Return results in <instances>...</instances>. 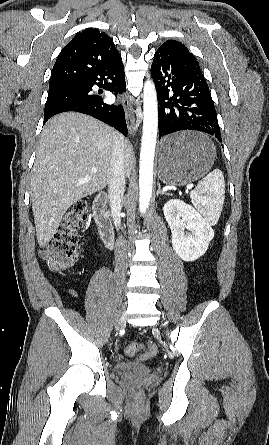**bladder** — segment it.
I'll return each instance as SVG.
<instances>
[{
  "label": "bladder",
  "mask_w": 269,
  "mask_h": 445,
  "mask_svg": "<svg viewBox=\"0 0 269 445\" xmlns=\"http://www.w3.org/2000/svg\"><path fill=\"white\" fill-rule=\"evenodd\" d=\"M114 371L117 373L131 371V372L138 373L141 375H147V374L151 373V368H149L146 365L136 363V362L121 361V362H117L114 365Z\"/></svg>",
  "instance_id": "1"
}]
</instances>
